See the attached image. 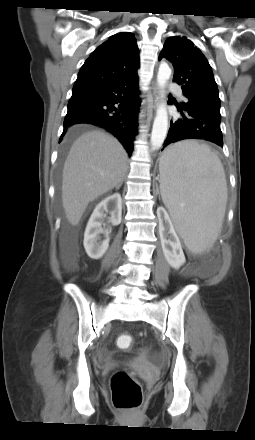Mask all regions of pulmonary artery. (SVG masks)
I'll return each instance as SVG.
<instances>
[{"mask_svg":"<svg viewBox=\"0 0 255 440\" xmlns=\"http://www.w3.org/2000/svg\"><path fill=\"white\" fill-rule=\"evenodd\" d=\"M169 91L176 94H181V88L179 85L172 83L169 85Z\"/></svg>","mask_w":255,"mask_h":440,"instance_id":"pulmonary-artery-1","label":"pulmonary artery"}]
</instances>
